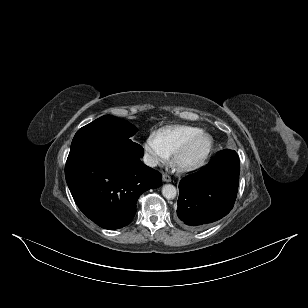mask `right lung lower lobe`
<instances>
[{"mask_svg":"<svg viewBox=\"0 0 308 308\" xmlns=\"http://www.w3.org/2000/svg\"><path fill=\"white\" fill-rule=\"evenodd\" d=\"M65 177L79 209L105 229L128 225L143 192L161 185V174L140 157L114 148L69 153Z\"/></svg>","mask_w":308,"mask_h":308,"instance_id":"98d812e1","label":"right lung lower lobe"}]
</instances>
